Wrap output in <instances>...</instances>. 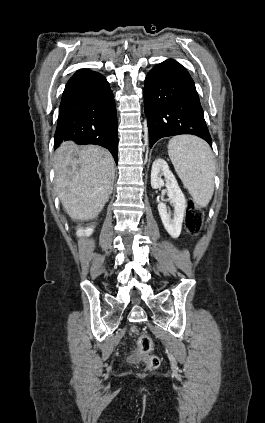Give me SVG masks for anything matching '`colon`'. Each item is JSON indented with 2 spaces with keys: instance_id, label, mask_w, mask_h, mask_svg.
Here are the masks:
<instances>
[{
  "instance_id": "obj_1",
  "label": "colon",
  "mask_w": 265,
  "mask_h": 423,
  "mask_svg": "<svg viewBox=\"0 0 265 423\" xmlns=\"http://www.w3.org/2000/svg\"><path fill=\"white\" fill-rule=\"evenodd\" d=\"M203 225V214L201 210L195 205L192 200L187 202V213H186V228L189 233L197 235ZM131 331L133 333H138L136 327H132ZM152 340L147 334H140L138 337V349L139 354L145 357V364L149 369H155L159 366L160 360L155 355H148L152 350Z\"/></svg>"
}]
</instances>
